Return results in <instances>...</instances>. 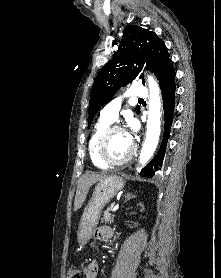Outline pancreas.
Instances as JSON below:
<instances>
[{
	"mask_svg": "<svg viewBox=\"0 0 221 278\" xmlns=\"http://www.w3.org/2000/svg\"><path fill=\"white\" fill-rule=\"evenodd\" d=\"M111 207L107 208L104 213L103 217L101 219L102 222H105L107 224H111L113 222V215L110 213Z\"/></svg>",
	"mask_w": 221,
	"mask_h": 278,
	"instance_id": "obj_1",
	"label": "pancreas"
}]
</instances>
